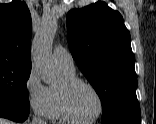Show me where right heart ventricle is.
I'll return each mask as SVG.
<instances>
[{"instance_id": "1", "label": "right heart ventricle", "mask_w": 156, "mask_h": 124, "mask_svg": "<svg viewBox=\"0 0 156 124\" xmlns=\"http://www.w3.org/2000/svg\"><path fill=\"white\" fill-rule=\"evenodd\" d=\"M62 68V67H61ZM64 76L65 77H75V70H67L65 68H62ZM49 93H50V99H51V107H50V118L53 120H57L60 122H68L69 120L66 118V116L63 114L59 99H58V93H57V86H51L49 87Z\"/></svg>"}]
</instances>
